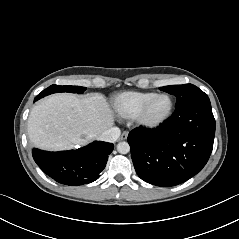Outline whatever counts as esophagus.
<instances>
[{"instance_id":"esophagus-1","label":"esophagus","mask_w":239,"mask_h":239,"mask_svg":"<svg viewBox=\"0 0 239 239\" xmlns=\"http://www.w3.org/2000/svg\"><path fill=\"white\" fill-rule=\"evenodd\" d=\"M127 137H128V132H127V131H124V132L121 134L120 139H121V140H125V139H127Z\"/></svg>"}]
</instances>
